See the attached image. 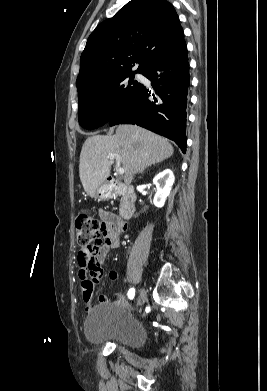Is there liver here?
I'll return each mask as SVG.
<instances>
[{"label": "liver", "mask_w": 267, "mask_h": 391, "mask_svg": "<svg viewBox=\"0 0 267 391\" xmlns=\"http://www.w3.org/2000/svg\"><path fill=\"white\" fill-rule=\"evenodd\" d=\"M167 139L136 125H119L113 136L95 135L84 142L80 154L79 176L85 192L94 197L96 189L110 176L118 154L124 172V181L130 184L139 172L173 155Z\"/></svg>", "instance_id": "obj_1"}]
</instances>
